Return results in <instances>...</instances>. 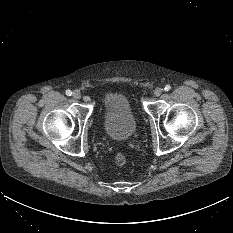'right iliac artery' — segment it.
Instances as JSON below:
<instances>
[{"label":"right iliac artery","mask_w":233,"mask_h":233,"mask_svg":"<svg viewBox=\"0 0 233 233\" xmlns=\"http://www.w3.org/2000/svg\"><path fill=\"white\" fill-rule=\"evenodd\" d=\"M66 95L67 96H71L72 95V91L71 90H66Z\"/></svg>","instance_id":"right-iliac-artery-1"}]
</instances>
